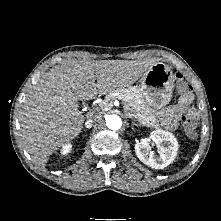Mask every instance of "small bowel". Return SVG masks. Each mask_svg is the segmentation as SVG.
<instances>
[{"label":"small bowel","mask_w":221,"mask_h":221,"mask_svg":"<svg viewBox=\"0 0 221 221\" xmlns=\"http://www.w3.org/2000/svg\"><path fill=\"white\" fill-rule=\"evenodd\" d=\"M192 95L189 97L182 96L176 103H174L172 106H170L165 115L162 118L163 124L168 128V129H175L178 124V119L183 115V114H191L196 117L197 111L196 108L193 107L192 105Z\"/></svg>","instance_id":"1"}]
</instances>
